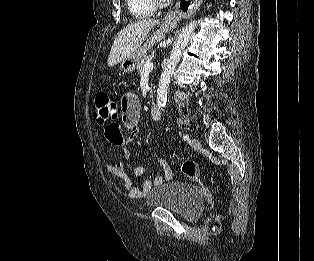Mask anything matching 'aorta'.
<instances>
[{"label": "aorta", "mask_w": 314, "mask_h": 261, "mask_svg": "<svg viewBox=\"0 0 314 261\" xmlns=\"http://www.w3.org/2000/svg\"><path fill=\"white\" fill-rule=\"evenodd\" d=\"M195 28L196 21H191L189 24L183 27L172 47L170 57L163 69L157 89V102L161 107L166 106L168 93L167 90L172 74L181 58L183 50L189 43Z\"/></svg>", "instance_id": "1"}]
</instances>
